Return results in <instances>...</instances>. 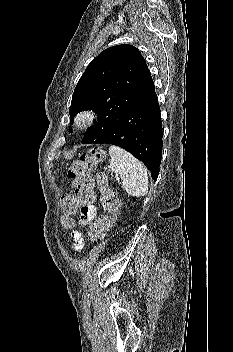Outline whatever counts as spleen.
Instances as JSON below:
<instances>
[{
	"label": "spleen",
	"instance_id": "spleen-1",
	"mask_svg": "<svg viewBox=\"0 0 233 352\" xmlns=\"http://www.w3.org/2000/svg\"><path fill=\"white\" fill-rule=\"evenodd\" d=\"M111 170L120 176L128 195L143 197L148 193V176L143 164L132 154L117 146L109 147Z\"/></svg>",
	"mask_w": 233,
	"mask_h": 352
}]
</instances>
